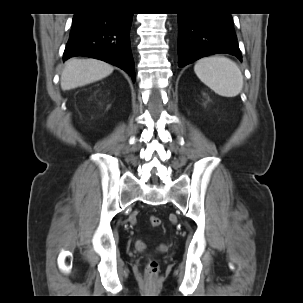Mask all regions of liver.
<instances>
[{
  "mask_svg": "<svg viewBox=\"0 0 303 303\" xmlns=\"http://www.w3.org/2000/svg\"><path fill=\"white\" fill-rule=\"evenodd\" d=\"M113 69L108 63L96 59H70L61 74V88L66 91L101 80Z\"/></svg>",
  "mask_w": 303,
  "mask_h": 303,
  "instance_id": "6515ba94",
  "label": "liver"
}]
</instances>
